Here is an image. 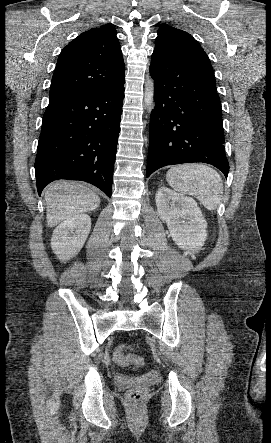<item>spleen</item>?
<instances>
[{"mask_svg": "<svg viewBox=\"0 0 271 443\" xmlns=\"http://www.w3.org/2000/svg\"><path fill=\"white\" fill-rule=\"evenodd\" d=\"M166 180L173 190L194 196L207 210H216L221 202L223 182L220 174L209 166L203 164L172 166L166 174Z\"/></svg>", "mask_w": 271, "mask_h": 443, "instance_id": "1", "label": "spleen"}]
</instances>
